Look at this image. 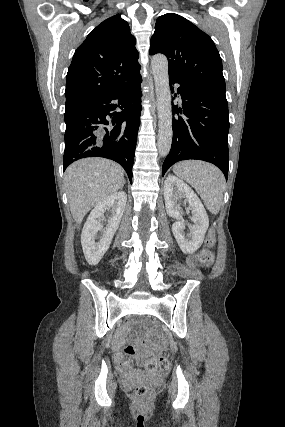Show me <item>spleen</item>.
<instances>
[{
  "mask_svg": "<svg viewBox=\"0 0 285 427\" xmlns=\"http://www.w3.org/2000/svg\"><path fill=\"white\" fill-rule=\"evenodd\" d=\"M173 172L195 188L212 214L219 213L225 189V177L216 166L189 160L175 164Z\"/></svg>",
  "mask_w": 285,
  "mask_h": 427,
  "instance_id": "obj_1",
  "label": "spleen"
}]
</instances>
